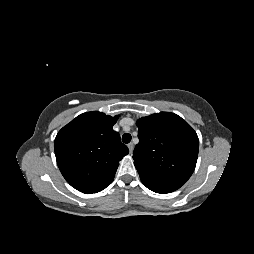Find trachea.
I'll return each mask as SVG.
<instances>
[{"label": "trachea", "mask_w": 254, "mask_h": 254, "mask_svg": "<svg viewBox=\"0 0 254 254\" xmlns=\"http://www.w3.org/2000/svg\"><path fill=\"white\" fill-rule=\"evenodd\" d=\"M131 138L132 137H131V135L129 133H125L122 136V141L127 144V143H129L131 141Z\"/></svg>", "instance_id": "obj_1"}]
</instances>
